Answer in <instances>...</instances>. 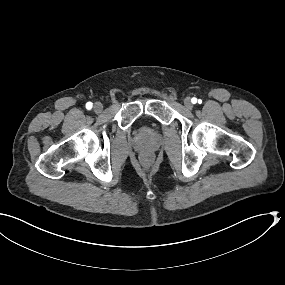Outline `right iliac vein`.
<instances>
[{
  "mask_svg": "<svg viewBox=\"0 0 285 285\" xmlns=\"http://www.w3.org/2000/svg\"><path fill=\"white\" fill-rule=\"evenodd\" d=\"M102 110H103V105H102V103L96 102V103L94 104V111H95L96 113H100V112H102Z\"/></svg>",
  "mask_w": 285,
  "mask_h": 285,
  "instance_id": "obj_1",
  "label": "right iliac vein"
}]
</instances>
